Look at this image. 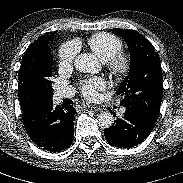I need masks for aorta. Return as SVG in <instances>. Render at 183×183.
Wrapping results in <instances>:
<instances>
[{
	"instance_id": "aorta-1",
	"label": "aorta",
	"mask_w": 183,
	"mask_h": 183,
	"mask_svg": "<svg viewBox=\"0 0 183 183\" xmlns=\"http://www.w3.org/2000/svg\"><path fill=\"white\" fill-rule=\"evenodd\" d=\"M74 66L76 70L83 73H97L100 71V65L91 53H83L76 57ZM114 123V117L110 112H102L98 115V124L104 128H109Z\"/></svg>"
}]
</instances>
